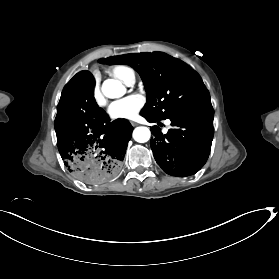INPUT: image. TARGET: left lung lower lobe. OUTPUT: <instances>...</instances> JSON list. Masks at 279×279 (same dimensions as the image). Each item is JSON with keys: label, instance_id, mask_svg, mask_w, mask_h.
Segmentation results:
<instances>
[{"label": "left lung lower lobe", "instance_id": "0a47b994", "mask_svg": "<svg viewBox=\"0 0 279 279\" xmlns=\"http://www.w3.org/2000/svg\"><path fill=\"white\" fill-rule=\"evenodd\" d=\"M149 122H156L142 115ZM212 105L169 118L174 126L163 134L158 126L151 127L154 137L150 146L159 166L169 175L186 177L195 174L206 163L213 139Z\"/></svg>", "mask_w": 279, "mask_h": 279}]
</instances>
